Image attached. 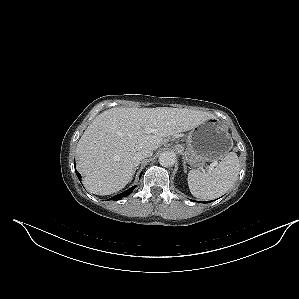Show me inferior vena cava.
Segmentation results:
<instances>
[{
	"mask_svg": "<svg viewBox=\"0 0 299 299\" xmlns=\"http://www.w3.org/2000/svg\"><path fill=\"white\" fill-rule=\"evenodd\" d=\"M152 154H153V152L148 149H143V150H139L138 152H136L133 157L135 166H138L142 159L151 157Z\"/></svg>",
	"mask_w": 299,
	"mask_h": 299,
	"instance_id": "inferior-vena-cava-1",
	"label": "inferior vena cava"
}]
</instances>
